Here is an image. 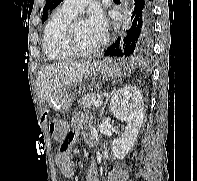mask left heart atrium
Masks as SVG:
<instances>
[{
    "label": "left heart atrium",
    "instance_id": "1",
    "mask_svg": "<svg viewBox=\"0 0 197 181\" xmlns=\"http://www.w3.org/2000/svg\"><path fill=\"white\" fill-rule=\"evenodd\" d=\"M87 24L97 35L104 38L107 31V21L101 9H92L87 20Z\"/></svg>",
    "mask_w": 197,
    "mask_h": 181
}]
</instances>
